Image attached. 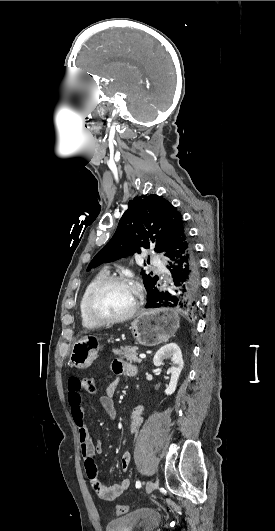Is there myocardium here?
I'll list each match as a JSON object with an SVG mask.
<instances>
[{"label": "myocardium", "instance_id": "obj_1", "mask_svg": "<svg viewBox=\"0 0 275 531\" xmlns=\"http://www.w3.org/2000/svg\"><path fill=\"white\" fill-rule=\"evenodd\" d=\"M117 282H126V283H130L133 286L136 297H135V300H134V303L131 309L126 314L122 316H118V317H113V318L103 317V316L96 314L92 309V302L94 298L103 288H105L106 286L110 284L117 283ZM140 300H141L140 289L132 283V281L129 279L127 275H108L102 278L98 283H96L92 287V289L89 291L84 301L83 310H84V314L86 318L95 324H98V325L116 324V323H121V322H124L130 319L136 313L140 305Z\"/></svg>", "mask_w": 275, "mask_h": 531}]
</instances>
